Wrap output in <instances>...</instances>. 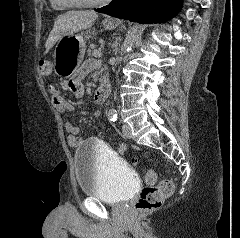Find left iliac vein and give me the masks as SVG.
<instances>
[{
  "label": "left iliac vein",
  "mask_w": 240,
  "mask_h": 238,
  "mask_svg": "<svg viewBox=\"0 0 240 238\" xmlns=\"http://www.w3.org/2000/svg\"><path fill=\"white\" fill-rule=\"evenodd\" d=\"M122 132L125 138H131L132 137V130L131 127L128 124H123L122 126Z\"/></svg>",
  "instance_id": "4c4485c4"
}]
</instances>
